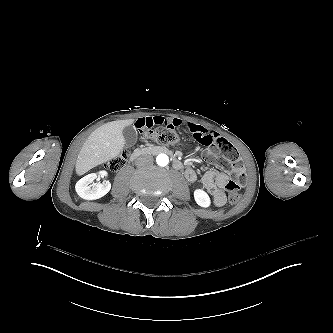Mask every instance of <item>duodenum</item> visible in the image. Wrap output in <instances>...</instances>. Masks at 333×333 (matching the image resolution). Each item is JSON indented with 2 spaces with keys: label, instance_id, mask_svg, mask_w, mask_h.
<instances>
[{
  "label": "duodenum",
  "instance_id": "1",
  "mask_svg": "<svg viewBox=\"0 0 333 333\" xmlns=\"http://www.w3.org/2000/svg\"><path fill=\"white\" fill-rule=\"evenodd\" d=\"M160 153L168 154L172 157V163L175 169H181L183 167L182 162L178 158L173 156L169 149L163 146H150V147L138 148L133 151V153L130 156V160L134 161L137 158L147 154H160Z\"/></svg>",
  "mask_w": 333,
  "mask_h": 333
}]
</instances>
